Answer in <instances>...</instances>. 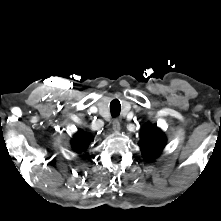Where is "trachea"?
<instances>
[{
  "label": "trachea",
  "instance_id": "3493384b",
  "mask_svg": "<svg viewBox=\"0 0 221 221\" xmlns=\"http://www.w3.org/2000/svg\"><path fill=\"white\" fill-rule=\"evenodd\" d=\"M121 111V104L118 99H114L110 103V112L112 117H116L120 114Z\"/></svg>",
  "mask_w": 221,
  "mask_h": 221
}]
</instances>
